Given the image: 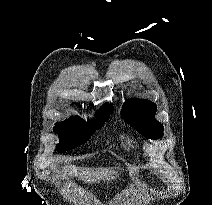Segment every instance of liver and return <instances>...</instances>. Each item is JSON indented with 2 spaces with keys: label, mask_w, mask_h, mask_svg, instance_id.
I'll use <instances>...</instances> for the list:
<instances>
[{
  "label": "liver",
  "mask_w": 212,
  "mask_h": 205,
  "mask_svg": "<svg viewBox=\"0 0 212 205\" xmlns=\"http://www.w3.org/2000/svg\"><path fill=\"white\" fill-rule=\"evenodd\" d=\"M100 170L102 169H98L97 171H93V170H90V169H83V168H79V167H76V166H68L65 168V171L68 172L71 176H76L78 177L79 174H81L83 176V178L85 179L86 178V172L87 173H93V177H98L99 176V173H100ZM79 171H81V173H79ZM109 170L106 169V170H103V172L101 173L102 176H109Z\"/></svg>",
  "instance_id": "liver-1"
}]
</instances>
